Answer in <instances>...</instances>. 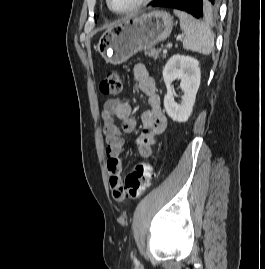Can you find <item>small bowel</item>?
<instances>
[{
	"mask_svg": "<svg viewBox=\"0 0 265 269\" xmlns=\"http://www.w3.org/2000/svg\"><path fill=\"white\" fill-rule=\"evenodd\" d=\"M133 75L138 89L147 97L149 105L141 117L143 133L137 138L136 147L141 157L149 158L152 155L157 137L166 128L167 120L161 108L155 81L147 68L143 64H136L133 68ZM131 112V105L120 98L106 100L101 112L106 142L108 183L116 200H120L119 194L123 190L120 154L124 144V136L132 133L137 125ZM117 122L121 123V127L118 126Z\"/></svg>",
	"mask_w": 265,
	"mask_h": 269,
	"instance_id": "c3829d8e",
	"label": "small bowel"
}]
</instances>
